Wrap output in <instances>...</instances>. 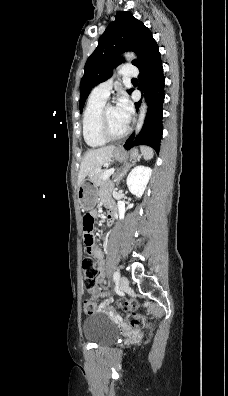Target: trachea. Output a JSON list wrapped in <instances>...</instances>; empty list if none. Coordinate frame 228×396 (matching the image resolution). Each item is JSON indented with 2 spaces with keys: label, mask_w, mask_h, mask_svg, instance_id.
<instances>
[{
  "label": "trachea",
  "mask_w": 228,
  "mask_h": 396,
  "mask_svg": "<svg viewBox=\"0 0 228 396\" xmlns=\"http://www.w3.org/2000/svg\"><path fill=\"white\" fill-rule=\"evenodd\" d=\"M132 81H137V79H136V78H133Z\"/></svg>",
  "instance_id": "trachea-1"
}]
</instances>
